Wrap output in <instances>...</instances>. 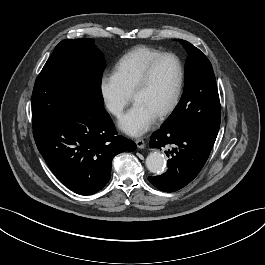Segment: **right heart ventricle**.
Instances as JSON below:
<instances>
[{
  "instance_id": "1",
  "label": "right heart ventricle",
  "mask_w": 265,
  "mask_h": 265,
  "mask_svg": "<svg viewBox=\"0 0 265 265\" xmlns=\"http://www.w3.org/2000/svg\"><path fill=\"white\" fill-rule=\"evenodd\" d=\"M161 54L157 49L138 46L125 53L115 64L112 75L125 93L131 92L146 65Z\"/></svg>"
}]
</instances>
